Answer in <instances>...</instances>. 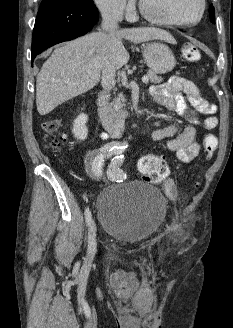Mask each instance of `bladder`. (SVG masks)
<instances>
[{
  "label": "bladder",
  "instance_id": "31cf9c89",
  "mask_svg": "<svg viewBox=\"0 0 233 328\" xmlns=\"http://www.w3.org/2000/svg\"><path fill=\"white\" fill-rule=\"evenodd\" d=\"M166 212L167 201L163 194L142 182L109 185L97 199L101 229L127 243L139 242L156 232Z\"/></svg>",
  "mask_w": 233,
  "mask_h": 328
}]
</instances>
